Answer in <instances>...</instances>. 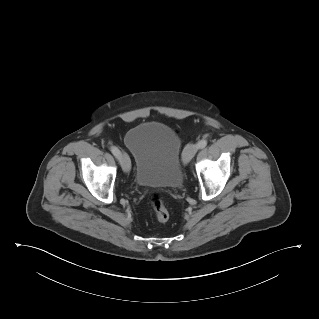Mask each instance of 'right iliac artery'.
Wrapping results in <instances>:
<instances>
[{
  "label": "right iliac artery",
  "mask_w": 319,
  "mask_h": 319,
  "mask_svg": "<svg viewBox=\"0 0 319 319\" xmlns=\"http://www.w3.org/2000/svg\"><path fill=\"white\" fill-rule=\"evenodd\" d=\"M110 150L116 158L120 159V150L117 147L111 146Z\"/></svg>",
  "instance_id": "82829eb1"
}]
</instances>
